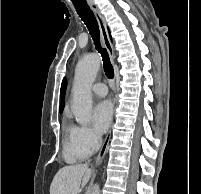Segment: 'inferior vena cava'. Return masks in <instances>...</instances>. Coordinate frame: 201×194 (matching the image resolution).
I'll list each match as a JSON object with an SVG mask.
<instances>
[{
  "label": "inferior vena cava",
  "instance_id": "602c4592",
  "mask_svg": "<svg viewBox=\"0 0 201 194\" xmlns=\"http://www.w3.org/2000/svg\"><path fill=\"white\" fill-rule=\"evenodd\" d=\"M101 143H102L101 137H97L96 140H95V143H94V148L96 150H98L100 148V146H101Z\"/></svg>",
  "mask_w": 201,
  "mask_h": 194
}]
</instances>
